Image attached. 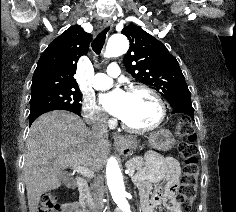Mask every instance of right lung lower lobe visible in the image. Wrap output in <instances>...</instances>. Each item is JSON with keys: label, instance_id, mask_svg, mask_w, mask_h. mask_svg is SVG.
Segmentation results:
<instances>
[{"label": "right lung lower lobe", "instance_id": "right-lung-lower-lobe-1", "mask_svg": "<svg viewBox=\"0 0 236 212\" xmlns=\"http://www.w3.org/2000/svg\"><path fill=\"white\" fill-rule=\"evenodd\" d=\"M54 109H41L39 111H36V112H31L30 115H29V121H30V124H32V122L37 118L39 117L40 115H42L43 113H46L48 111H52ZM71 112H74L76 113L77 115L80 116V112H77V111H71Z\"/></svg>", "mask_w": 236, "mask_h": 212}]
</instances>
